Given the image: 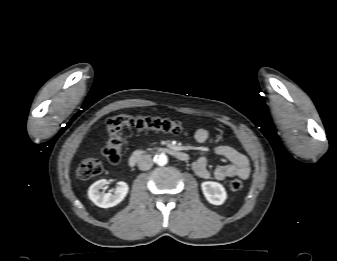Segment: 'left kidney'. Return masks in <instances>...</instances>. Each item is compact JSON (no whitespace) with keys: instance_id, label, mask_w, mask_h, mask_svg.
<instances>
[{"instance_id":"left-kidney-1","label":"left kidney","mask_w":337,"mask_h":261,"mask_svg":"<svg viewBox=\"0 0 337 261\" xmlns=\"http://www.w3.org/2000/svg\"><path fill=\"white\" fill-rule=\"evenodd\" d=\"M201 188L207 201L213 205H221L227 198L225 188L218 182L205 181Z\"/></svg>"}]
</instances>
